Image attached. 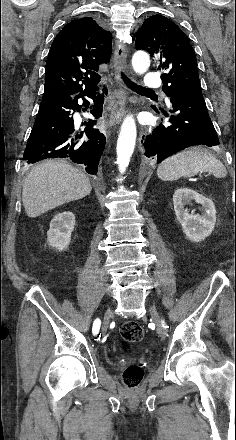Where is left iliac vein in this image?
<instances>
[{"label": "left iliac vein", "instance_id": "4c4485c4", "mask_svg": "<svg viewBox=\"0 0 236 440\" xmlns=\"http://www.w3.org/2000/svg\"><path fill=\"white\" fill-rule=\"evenodd\" d=\"M148 310H149V314L152 318V321L156 325L157 333L160 335L161 338H165L163 324H162V321L159 317L157 310L153 306H149Z\"/></svg>", "mask_w": 236, "mask_h": 440}]
</instances>
